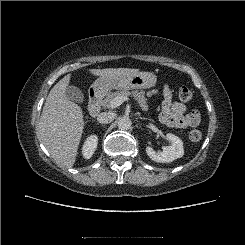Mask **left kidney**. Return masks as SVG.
I'll return each instance as SVG.
<instances>
[{
  "mask_svg": "<svg viewBox=\"0 0 245 245\" xmlns=\"http://www.w3.org/2000/svg\"><path fill=\"white\" fill-rule=\"evenodd\" d=\"M166 138L171 142V146L163 147L162 151H155L151 147H146L147 155L155 162L169 163L184 155L182 140L172 133L166 134Z\"/></svg>",
  "mask_w": 245,
  "mask_h": 245,
  "instance_id": "left-kidney-1",
  "label": "left kidney"
}]
</instances>
